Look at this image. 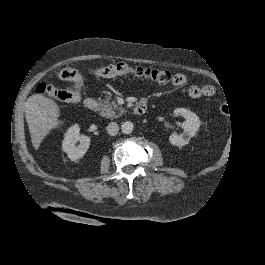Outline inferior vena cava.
<instances>
[{"instance_id": "inferior-vena-cava-1", "label": "inferior vena cava", "mask_w": 265, "mask_h": 265, "mask_svg": "<svg viewBox=\"0 0 265 265\" xmlns=\"http://www.w3.org/2000/svg\"><path fill=\"white\" fill-rule=\"evenodd\" d=\"M119 126L116 122L109 123L107 126V132L110 136H115L118 133Z\"/></svg>"}]
</instances>
